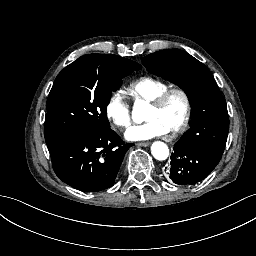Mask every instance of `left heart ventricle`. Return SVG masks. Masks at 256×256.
Returning a JSON list of instances; mask_svg holds the SVG:
<instances>
[{"label":"left heart ventricle","mask_w":256,"mask_h":256,"mask_svg":"<svg viewBox=\"0 0 256 256\" xmlns=\"http://www.w3.org/2000/svg\"><path fill=\"white\" fill-rule=\"evenodd\" d=\"M181 111L180 103L178 102L176 97H173L167 107V109L161 114L167 116L169 118L170 115H176Z\"/></svg>","instance_id":"left-heart-ventricle-1"}]
</instances>
